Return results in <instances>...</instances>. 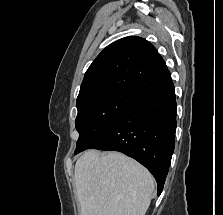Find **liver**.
<instances>
[{"instance_id": "liver-1", "label": "liver", "mask_w": 223, "mask_h": 215, "mask_svg": "<svg viewBox=\"0 0 223 215\" xmlns=\"http://www.w3.org/2000/svg\"><path fill=\"white\" fill-rule=\"evenodd\" d=\"M75 185L82 215H145L154 177L119 151H85L75 163Z\"/></svg>"}]
</instances>
